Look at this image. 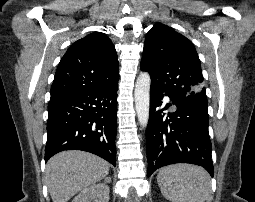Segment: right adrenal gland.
I'll return each mask as SVG.
<instances>
[{"label":"right adrenal gland","instance_id":"1","mask_svg":"<svg viewBox=\"0 0 255 202\" xmlns=\"http://www.w3.org/2000/svg\"><path fill=\"white\" fill-rule=\"evenodd\" d=\"M104 182H105V183H110V182H111V178H110V177L105 178V179H104Z\"/></svg>","mask_w":255,"mask_h":202}]
</instances>
